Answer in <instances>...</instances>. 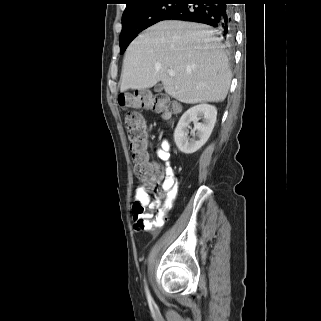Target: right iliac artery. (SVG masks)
Segmentation results:
<instances>
[{
	"label": "right iliac artery",
	"instance_id": "1",
	"mask_svg": "<svg viewBox=\"0 0 321 321\" xmlns=\"http://www.w3.org/2000/svg\"><path fill=\"white\" fill-rule=\"evenodd\" d=\"M145 292H146L148 301H151L152 298H151V295H150V292H149V289H148L146 283H145Z\"/></svg>",
	"mask_w": 321,
	"mask_h": 321
}]
</instances>
